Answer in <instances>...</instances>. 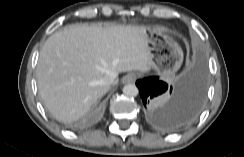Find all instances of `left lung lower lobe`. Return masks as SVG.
Segmentation results:
<instances>
[{"mask_svg": "<svg viewBox=\"0 0 244 157\" xmlns=\"http://www.w3.org/2000/svg\"><path fill=\"white\" fill-rule=\"evenodd\" d=\"M149 120L165 131H176L191 123L200 113L206 94L202 63L194 66L173 85L158 77L136 82Z\"/></svg>", "mask_w": 244, "mask_h": 157, "instance_id": "1", "label": "left lung lower lobe"}]
</instances>
